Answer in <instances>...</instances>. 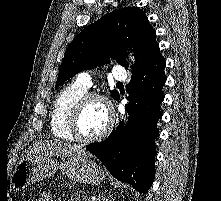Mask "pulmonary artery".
Here are the masks:
<instances>
[{"label": "pulmonary artery", "instance_id": "pulmonary-artery-1", "mask_svg": "<svg viewBox=\"0 0 221 201\" xmlns=\"http://www.w3.org/2000/svg\"><path fill=\"white\" fill-rule=\"evenodd\" d=\"M112 76L115 80L125 81L127 78L126 70L121 66H116L112 71ZM76 83L82 88L88 90L91 85V76L88 73H80L76 79Z\"/></svg>", "mask_w": 221, "mask_h": 201}]
</instances>
